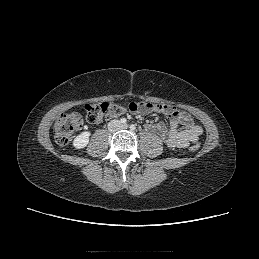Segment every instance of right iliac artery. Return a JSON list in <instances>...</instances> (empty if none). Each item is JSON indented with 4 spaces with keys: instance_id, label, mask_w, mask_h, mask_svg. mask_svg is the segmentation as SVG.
<instances>
[{
    "instance_id": "obj_1",
    "label": "right iliac artery",
    "mask_w": 259,
    "mask_h": 259,
    "mask_svg": "<svg viewBox=\"0 0 259 259\" xmlns=\"http://www.w3.org/2000/svg\"><path fill=\"white\" fill-rule=\"evenodd\" d=\"M126 122H127L126 118H121V119H120V123L126 124Z\"/></svg>"
}]
</instances>
